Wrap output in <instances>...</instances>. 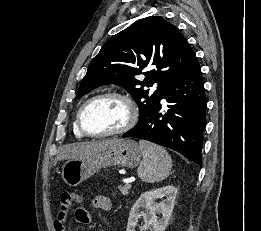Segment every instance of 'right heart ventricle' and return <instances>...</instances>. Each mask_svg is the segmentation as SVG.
Wrapping results in <instances>:
<instances>
[{
    "label": "right heart ventricle",
    "instance_id": "e07e8e85",
    "mask_svg": "<svg viewBox=\"0 0 261 231\" xmlns=\"http://www.w3.org/2000/svg\"><path fill=\"white\" fill-rule=\"evenodd\" d=\"M76 117H77V115H76L75 118H74L73 126H72L73 133H74V135H75L76 138L82 139V138H84L85 136H84L83 134H81L80 131L78 130L77 123H76Z\"/></svg>",
    "mask_w": 261,
    "mask_h": 231
}]
</instances>
